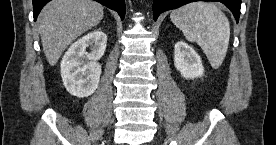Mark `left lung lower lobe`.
I'll return each mask as SVG.
<instances>
[{"label": "left lung lower lobe", "mask_w": 276, "mask_h": 145, "mask_svg": "<svg viewBox=\"0 0 276 145\" xmlns=\"http://www.w3.org/2000/svg\"><path fill=\"white\" fill-rule=\"evenodd\" d=\"M194 1H219L231 10L236 19V22L238 23L239 21L241 0H153L154 20H156L158 16L164 11L175 9Z\"/></svg>", "instance_id": "0a47b994"}]
</instances>
